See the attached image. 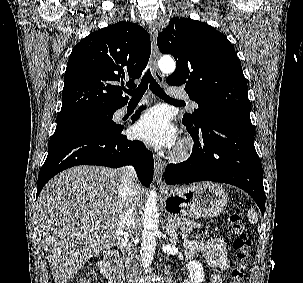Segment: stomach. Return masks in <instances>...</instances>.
<instances>
[{"mask_svg": "<svg viewBox=\"0 0 303 283\" xmlns=\"http://www.w3.org/2000/svg\"><path fill=\"white\" fill-rule=\"evenodd\" d=\"M227 203L225 190L208 182L172 188L165 195L167 211L196 218L215 217L225 210Z\"/></svg>", "mask_w": 303, "mask_h": 283, "instance_id": "obj_1", "label": "stomach"}]
</instances>
